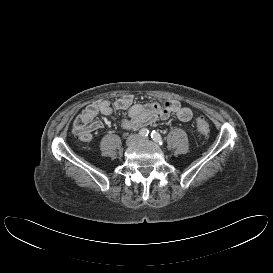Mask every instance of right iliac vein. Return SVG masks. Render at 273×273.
Returning <instances> with one entry per match:
<instances>
[{
	"label": "right iliac vein",
	"instance_id": "1",
	"mask_svg": "<svg viewBox=\"0 0 273 273\" xmlns=\"http://www.w3.org/2000/svg\"><path fill=\"white\" fill-rule=\"evenodd\" d=\"M138 141V136L137 135H131L127 138L126 140V145L127 146H132Z\"/></svg>",
	"mask_w": 273,
	"mask_h": 273
}]
</instances>
